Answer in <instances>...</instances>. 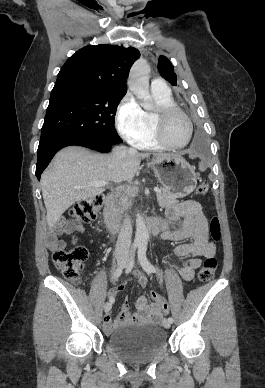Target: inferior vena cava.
Here are the masks:
<instances>
[{"mask_svg":"<svg viewBox=\"0 0 265 388\" xmlns=\"http://www.w3.org/2000/svg\"><path fill=\"white\" fill-rule=\"evenodd\" d=\"M115 156L121 160V158H125L127 154V148L125 146H121V148H117L116 152H114ZM132 240V224L130 222L129 216H126L125 220H123V224L121 226V230L119 232L115 256L116 258H128L129 256V248L131 246Z\"/></svg>","mask_w":265,"mask_h":388,"instance_id":"obj_1","label":"inferior vena cava"}]
</instances>
